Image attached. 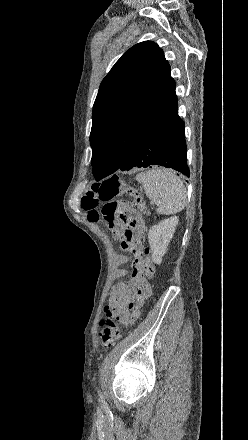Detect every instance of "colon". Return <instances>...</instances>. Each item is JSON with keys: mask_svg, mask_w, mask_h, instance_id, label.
Instances as JSON below:
<instances>
[{"mask_svg": "<svg viewBox=\"0 0 248 440\" xmlns=\"http://www.w3.org/2000/svg\"><path fill=\"white\" fill-rule=\"evenodd\" d=\"M120 194H126L132 198L131 203H128L132 211V217L140 220L146 212L142 192L126 186L116 175L103 182L92 184L81 200V207L87 213L90 221L101 220L113 229L117 223H126L129 217L128 212L123 208V203L116 200V197ZM143 270L148 278L153 277L154 267L148 249L145 252ZM117 319V315L113 311L109 309L106 311L100 331L101 343L106 349L114 346L123 336L122 329L117 324Z\"/></svg>", "mask_w": 248, "mask_h": 440, "instance_id": "5ec220e1", "label": "colon"}]
</instances>
